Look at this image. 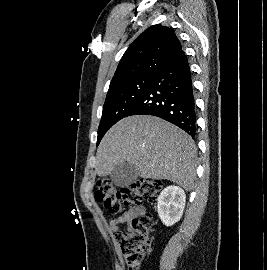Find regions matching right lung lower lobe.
Here are the masks:
<instances>
[{"label": "right lung lower lobe", "instance_id": "obj_1", "mask_svg": "<svg viewBox=\"0 0 267 270\" xmlns=\"http://www.w3.org/2000/svg\"><path fill=\"white\" fill-rule=\"evenodd\" d=\"M139 114L165 119L195 137L196 106L191 71L183 50L154 75L145 94L127 116Z\"/></svg>", "mask_w": 267, "mask_h": 270}]
</instances>
